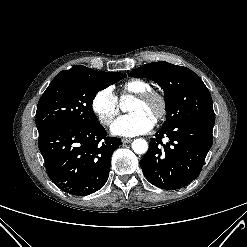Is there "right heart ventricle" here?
I'll return each mask as SVG.
<instances>
[{
	"mask_svg": "<svg viewBox=\"0 0 247 247\" xmlns=\"http://www.w3.org/2000/svg\"><path fill=\"white\" fill-rule=\"evenodd\" d=\"M151 85L141 79H130L125 81L120 87L121 95H137L144 91L150 90Z\"/></svg>",
	"mask_w": 247,
	"mask_h": 247,
	"instance_id": "obj_1",
	"label": "right heart ventricle"
}]
</instances>
